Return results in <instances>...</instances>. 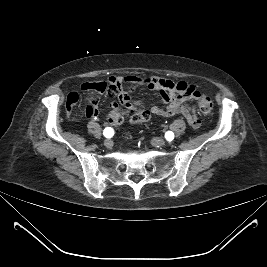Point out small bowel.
<instances>
[{
    "instance_id": "c3829d8e",
    "label": "small bowel",
    "mask_w": 267,
    "mask_h": 267,
    "mask_svg": "<svg viewBox=\"0 0 267 267\" xmlns=\"http://www.w3.org/2000/svg\"><path fill=\"white\" fill-rule=\"evenodd\" d=\"M137 87H147L159 91L164 107L153 106L151 113L161 117H169L175 114H182L189 125L198 128L200 120L194 106L188 102L198 99L201 93L197 86L184 81H173L171 79L152 76L135 77L121 76L110 77L107 81L84 83L82 89L88 92L86 98L85 115L88 118H96L98 115V102L100 95L107 92L111 98L117 97L119 102L111 100L109 106L112 110H120L121 106L132 109L137 103L133 102L130 92ZM79 101V95L70 93L66 99V110L69 115Z\"/></svg>"
}]
</instances>
